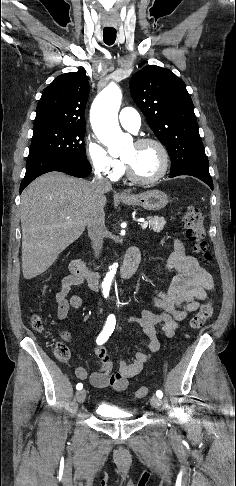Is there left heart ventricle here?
Here are the masks:
<instances>
[{
  "instance_id": "b2bd125f",
  "label": "left heart ventricle",
  "mask_w": 236,
  "mask_h": 486,
  "mask_svg": "<svg viewBox=\"0 0 236 486\" xmlns=\"http://www.w3.org/2000/svg\"><path fill=\"white\" fill-rule=\"evenodd\" d=\"M123 159L130 165L133 172L141 178H150L156 175L162 166L161 153L153 144L143 146L132 144L125 151Z\"/></svg>"
}]
</instances>
